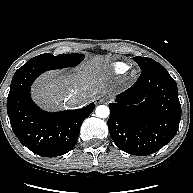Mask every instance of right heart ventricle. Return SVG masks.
Listing matches in <instances>:
<instances>
[{
	"mask_svg": "<svg viewBox=\"0 0 193 193\" xmlns=\"http://www.w3.org/2000/svg\"><path fill=\"white\" fill-rule=\"evenodd\" d=\"M112 69L115 74L120 75L127 71L128 65L124 62H116L113 64Z\"/></svg>",
	"mask_w": 193,
	"mask_h": 193,
	"instance_id": "e07e8e85",
	"label": "right heart ventricle"
}]
</instances>
